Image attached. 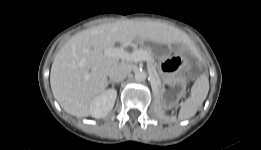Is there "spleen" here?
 Instances as JSON below:
<instances>
[{
  "label": "spleen",
  "mask_w": 261,
  "mask_h": 150,
  "mask_svg": "<svg viewBox=\"0 0 261 150\" xmlns=\"http://www.w3.org/2000/svg\"><path fill=\"white\" fill-rule=\"evenodd\" d=\"M209 91V79L201 75L193 84L189 98L182 104L178 119L185 120L193 117L205 101Z\"/></svg>",
  "instance_id": "3e777b00"
}]
</instances>
